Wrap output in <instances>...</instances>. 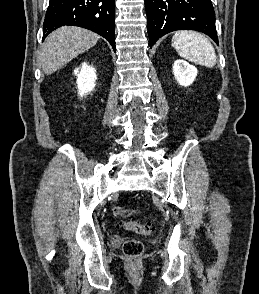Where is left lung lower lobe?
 Masks as SVG:
<instances>
[{
    "label": "left lung lower lobe",
    "instance_id": "obj_1",
    "mask_svg": "<svg viewBox=\"0 0 259 294\" xmlns=\"http://www.w3.org/2000/svg\"><path fill=\"white\" fill-rule=\"evenodd\" d=\"M149 46L176 30H195L217 44L215 13L211 0H145Z\"/></svg>",
    "mask_w": 259,
    "mask_h": 294
}]
</instances>
